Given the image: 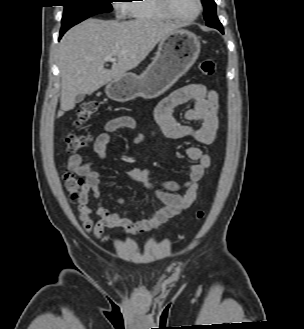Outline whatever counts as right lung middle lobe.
<instances>
[{"label":"right lung middle lobe","mask_w":304,"mask_h":329,"mask_svg":"<svg viewBox=\"0 0 304 329\" xmlns=\"http://www.w3.org/2000/svg\"><path fill=\"white\" fill-rule=\"evenodd\" d=\"M61 31L66 32L72 26L86 18L112 11V0H64Z\"/></svg>","instance_id":"dd1d6c3e"}]
</instances>
